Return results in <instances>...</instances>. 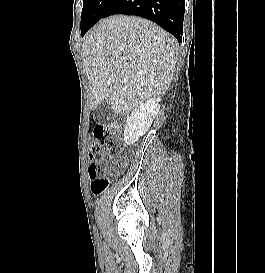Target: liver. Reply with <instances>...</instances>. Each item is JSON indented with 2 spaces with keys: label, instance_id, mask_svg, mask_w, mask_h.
I'll return each instance as SVG.
<instances>
[{
  "label": "liver",
  "instance_id": "obj_1",
  "mask_svg": "<svg viewBox=\"0 0 265 273\" xmlns=\"http://www.w3.org/2000/svg\"><path fill=\"white\" fill-rule=\"evenodd\" d=\"M177 54L176 39L152 21L125 15L102 19L81 51L90 108L107 102L115 114L125 115L145 100L164 95Z\"/></svg>",
  "mask_w": 265,
  "mask_h": 273
}]
</instances>
